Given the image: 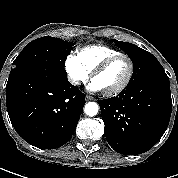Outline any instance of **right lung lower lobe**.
Returning a JSON list of instances; mask_svg holds the SVG:
<instances>
[{"instance_id":"98d812e1","label":"right lung lower lobe","mask_w":178,"mask_h":178,"mask_svg":"<svg viewBox=\"0 0 178 178\" xmlns=\"http://www.w3.org/2000/svg\"><path fill=\"white\" fill-rule=\"evenodd\" d=\"M85 94L55 68L10 72L6 104L16 132L42 149L64 145L74 133Z\"/></svg>"}]
</instances>
